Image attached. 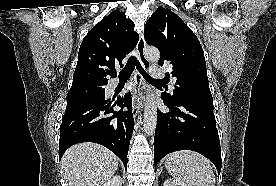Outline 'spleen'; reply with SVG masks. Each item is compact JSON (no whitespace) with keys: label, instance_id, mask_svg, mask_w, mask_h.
Returning <instances> with one entry per match:
<instances>
[{"label":"spleen","instance_id":"1","mask_svg":"<svg viewBox=\"0 0 276 186\" xmlns=\"http://www.w3.org/2000/svg\"><path fill=\"white\" fill-rule=\"evenodd\" d=\"M165 168L174 179L186 186H215L216 183L210 162L194 151L184 150L167 155Z\"/></svg>","mask_w":276,"mask_h":186}]
</instances>
